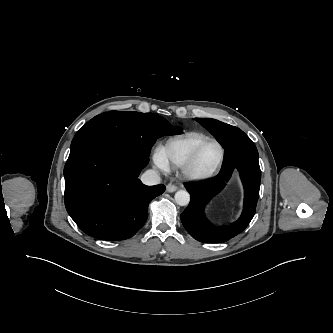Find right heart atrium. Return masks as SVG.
I'll return each mask as SVG.
<instances>
[{"label": "right heart atrium", "mask_w": 333, "mask_h": 333, "mask_svg": "<svg viewBox=\"0 0 333 333\" xmlns=\"http://www.w3.org/2000/svg\"><path fill=\"white\" fill-rule=\"evenodd\" d=\"M154 163L157 167L164 171H167L169 169V167L163 162L158 152L154 155Z\"/></svg>", "instance_id": "obj_1"}]
</instances>
